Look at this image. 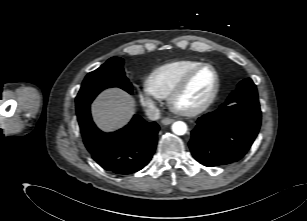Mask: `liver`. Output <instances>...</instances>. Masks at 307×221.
<instances>
[{
	"instance_id": "6515ba94",
	"label": "liver",
	"mask_w": 307,
	"mask_h": 221,
	"mask_svg": "<svg viewBox=\"0 0 307 221\" xmlns=\"http://www.w3.org/2000/svg\"><path fill=\"white\" fill-rule=\"evenodd\" d=\"M134 112V98L118 88L103 91L92 104L94 122L105 132L123 127Z\"/></svg>"
}]
</instances>
